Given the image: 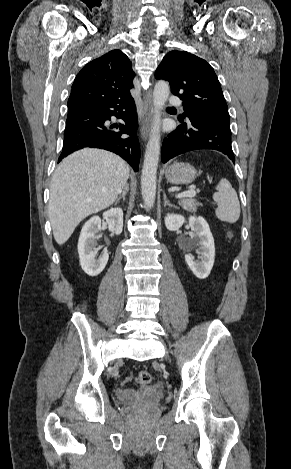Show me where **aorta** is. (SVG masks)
<instances>
[{
  "label": "aorta",
  "mask_w": 291,
  "mask_h": 469,
  "mask_svg": "<svg viewBox=\"0 0 291 469\" xmlns=\"http://www.w3.org/2000/svg\"><path fill=\"white\" fill-rule=\"evenodd\" d=\"M169 93L168 83L165 81L156 83L153 91L154 117L141 175V193L147 208L153 207L155 202L157 168L160 156L161 110L169 97Z\"/></svg>",
  "instance_id": "obj_1"
}]
</instances>
